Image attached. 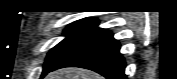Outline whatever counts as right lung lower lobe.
Masks as SVG:
<instances>
[{
  "mask_svg": "<svg viewBox=\"0 0 177 79\" xmlns=\"http://www.w3.org/2000/svg\"><path fill=\"white\" fill-rule=\"evenodd\" d=\"M119 49L120 45L110 31L96 28L84 42L48 72L63 67H82L93 70L107 79H126L125 61Z\"/></svg>",
  "mask_w": 177,
  "mask_h": 79,
  "instance_id": "1",
  "label": "right lung lower lobe"
}]
</instances>
